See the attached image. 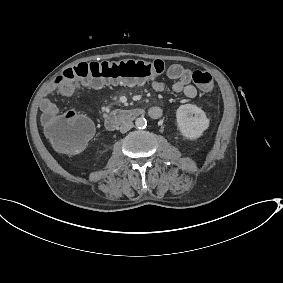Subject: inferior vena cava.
Segmentation results:
<instances>
[{"instance_id":"inferior-vena-cava-1","label":"inferior vena cava","mask_w":283,"mask_h":283,"mask_svg":"<svg viewBox=\"0 0 283 283\" xmlns=\"http://www.w3.org/2000/svg\"><path fill=\"white\" fill-rule=\"evenodd\" d=\"M133 122L132 121H124L120 126V132L125 133L129 131L131 128H133Z\"/></svg>"}]
</instances>
